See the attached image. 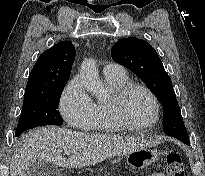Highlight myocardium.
<instances>
[{"mask_svg": "<svg viewBox=\"0 0 205 176\" xmlns=\"http://www.w3.org/2000/svg\"><path fill=\"white\" fill-rule=\"evenodd\" d=\"M136 90L143 91L150 98L153 105V117L146 123L132 122L126 115L125 102ZM112 113L122 130H144L154 127L160 119V103L155 93L146 85L140 83H128L115 93L112 100Z\"/></svg>", "mask_w": 205, "mask_h": 176, "instance_id": "myocardium-1", "label": "myocardium"}]
</instances>
